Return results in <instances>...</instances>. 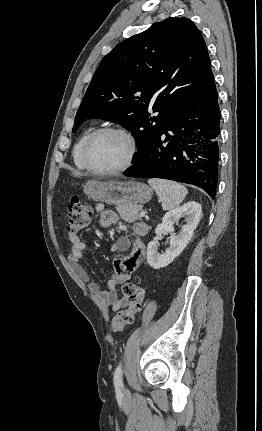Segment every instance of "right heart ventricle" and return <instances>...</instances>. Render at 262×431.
<instances>
[{
    "instance_id": "1",
    "label": "right heart ventricle",
    "mask_w": 262,
    "mask_h": 431,
    "mask_svg": "<svg viewBox=\"0 0 262 431\" xmlns=\"http://www.w3.org/2000/svg\"><path fill=\"white\" fill-rule=\"evenodd\" d=\"M94 131H87L85 132L75 143L73 150H72V161L74 166L79 170H87L83 161H82V149L84 146L85 141L87 138L93 133Z\"/></svg>"
}]
</instances>
